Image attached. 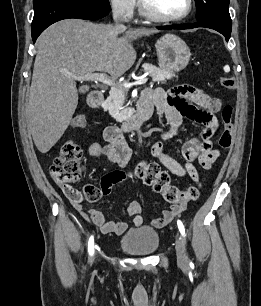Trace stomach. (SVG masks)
I'll use <instances>...</instances> for the list:
<instances>
[{"label":"stomach","instance_id":"obj_1","mask_svg":"<svg viewBox=\"0 0 261 306\" xmlns=\"http://www.w3.org/2000/svg\"><path fill=\"white\" fill-rule=\"evenodd\" d=\"M156 52L159 66L164 70L179 72L183 70L190 60V49L177 35L166 34L157 40Z\"/></svg>","mask_w":261,"mask_h":306}]
</instances>
